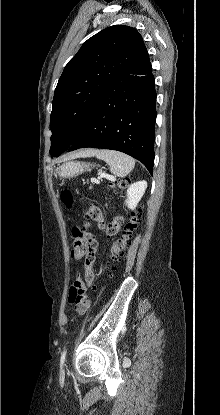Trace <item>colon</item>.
<instances>
[{
  "label": "colon",
  "instance_id": "colon-1",
  "mask_svg": "<svg viewBox=\"0 0 220 415\" xmlns=\"http://www.w3.org/2000/svg\"><path fill=\"white\" fill-rule=\"evenodd\" d=\"M128 184L127 179H122L114 184L119 188H124ZM62 201L70 207L73 201L72 194L65 192L62 195ZM84 221L73 226L74 244L71 250L73 259L84 260L85 272L84 281L77 277L69 293V303L80 313L84 314L90 307L88 299V289L96 285V278L93 272V266L96 260V242L90 233L91 222L96 223L99 229L103 230L108 237H115L122 231L120 238L113 241L110 257L113 262L117 261L137 227L138 212L134 211L130 219L126 222L122 215H117L111 221L106 222L105 218L96 205L89 206L84 211Z\"/></svg>",
  "mask_w": 220,
  "mask_h": 415
}]
</instances>
